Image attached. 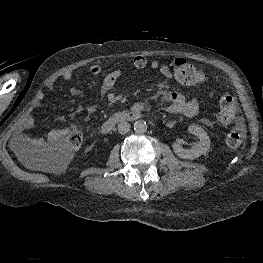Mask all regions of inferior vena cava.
I'll use <instances>...</instances> for the list:
<instances>
[{"instance_id": "inferior-vena-cava-1", "label": "inferior vena cava", "mask_w": 263, "mask_h": 263, "mask_svg": "<svg viewBox=\"0 0 263 263\" xmlns=\"http://www.w3.org/2000/svg\"><path fill=\"white\" fill-rule=\"evenodd\" d=\"M129 130H130V124L129 123L123 121V122H120L118 124V132L120 134H126L129 132Z\"/></svg>"}]
</instances>
